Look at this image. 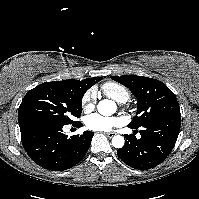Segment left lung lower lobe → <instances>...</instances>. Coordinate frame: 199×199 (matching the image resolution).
<instances>
[{"label":"left lung lower lobe","instance_id":"obj_1","mask_svg":"<svg viewBox=\"0 0 199 199\" xmlns=\"http://www.w3.org/2000/svg\"><path fill=\"white\" fill-rule=\"evenodd\" d=\"M181 115L158 118L141 127V138L125 135L119 158L132 168L148 170L162 163L173 149L180 130ZM132 129H137L130 127Z\"/></svg>","mask_w":199,"mask_h":199}]
</instances>
